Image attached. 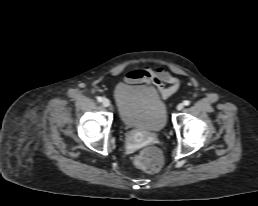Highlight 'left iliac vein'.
<instances>
[{"instance_id": "left-iliac-vein-1", "label": "left iliac vein", "mask_w": 258, "mask_h": 206, "mask_svg": "<svg viewBox=\"0 0 258 206\" xmlns=\"http://www.w3.org/2000/svg\"><path fill=\"white\" fill-rule=\"evenodd\" d=\"M184 108V104L180 103L177 105V110H182Z\"/></svg>"}]
</instances>
